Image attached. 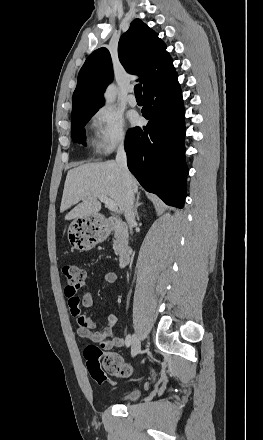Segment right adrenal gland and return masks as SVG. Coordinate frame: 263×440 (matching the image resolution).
<instances>
[{"mask_svg":"<svg viewBox=\"0 0 263 440\" xmlns=\"http://www.w3.org/2000/svg\"><path fill=\"white\" fill-rule=\"evenodd\" d=\"M140 205H142V202H140V193H138L136 196V201H135V206H134V214L137 217V219H139L137 209Z\"/></svg>","mask_w":263,"mask_h":440,"instance_id":"right-adrenal-gland-1","label":"right adrenal gland"}]
</instances>
